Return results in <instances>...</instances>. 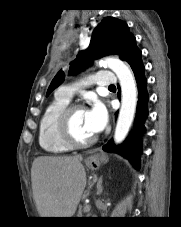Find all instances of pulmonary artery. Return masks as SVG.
Listing matches in <instances>:
<instances>
[{
	"instance_id": "1",
	"label": "pulmonary artery",
	"mask_w": 181,
	"mask_h": 227,
	"mask_svg": "<svg viewBox=\"0 0 181 227\" xmlns=\"http://www.w3.org/2000/svg\"><path fill=\"white\" fill-rule=\"evenodd\" d=\"M117 77L114 73L98 71L92 79L89 80L90 83H94L99 87L110 86L115 84ZM75 93V87L73 86H63L58 89L57 94L71 99Z\"/></svg>"
}]
</instances>
